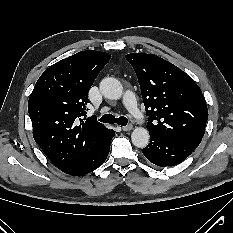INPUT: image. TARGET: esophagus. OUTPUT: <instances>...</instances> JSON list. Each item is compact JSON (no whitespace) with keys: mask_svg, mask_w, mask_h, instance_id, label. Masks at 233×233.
Listing matches in <instances>:
<instances>
[{"mask_svg":"<svg viewBox=\"0 0 233 233\" xmlns=\"http://www.w3.org/2000/svg\"><path fill=\"white\" fill-rule=\"evenodd\" d=\"M132 129H133V125H131V124L122 127V130H123V131H130V130H132Z\"/></svg>","mask_w":233,"mask_h":233,"instance_id":"obj_1","label":"esophagus"}]
</instances>
